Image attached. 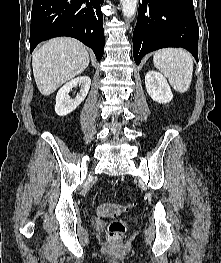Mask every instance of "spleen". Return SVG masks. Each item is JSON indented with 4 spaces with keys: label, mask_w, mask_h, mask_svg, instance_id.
<instances>
[{
    "label": "spleen",
    "mask_w": 221,
    "mask_h": 263,
    "mask_svg": "<svg viewBox=\"0 0 221 263\" xmlns=\"http://www.w3.org/2000/svg\"><path fill=\"white\" fill-rule=\"evenodd\" d=\"M154 66L161 71L173 89L186 92L192 81L193 57L183 49L165 48L155 52Z\"/></svg>",
    "instance_id": "obj_1"
}]
</instances>
